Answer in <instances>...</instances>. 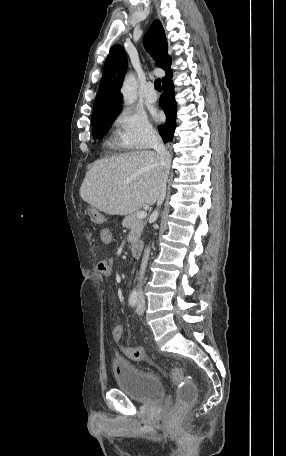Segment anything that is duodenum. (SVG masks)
<instances>
[{
	"label": "duodenum",
	"mask_w": 286,
	"mask_h": 456,
	"mask_svg": "<svg viewBox=\"0 0 286 456\" xmlns=\"http://www.w3.org/2000/svg\"><path fill=\"white\" fill-rule=\"evenodd\" d=\"M142 251V243L141 242H135L131 246V253L133 256L137 257L141 254Z\"/></svg>",
	"instance_id": "410a0bca"
}]
</instances>
